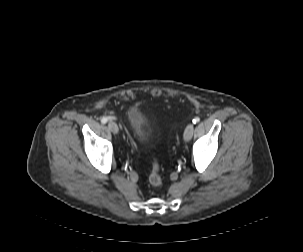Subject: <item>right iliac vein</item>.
<instances>
[{
  "label": "right iliac vein",
  "mask_w": 303,
  "mask_h": 252,
  "mask_svg": "<svg viewBox=\"0 0 303 252\" xmlns=\"http://www.w3.org/2000/svg\"><path fill=\"white\" fill-rule=\"evenodd\" d=\"M108 128L114 134H117L119 132L118 125L114 121H109Z\"/></svg>",
  "instance_id": "1"
}]
</instances>
